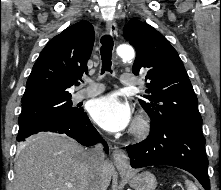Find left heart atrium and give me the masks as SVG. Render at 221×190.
Masks as SVG:
<instances>
[{
    "label": "left heart atrium",
    "mask_w": 221,
    "mask_h": 190,
    "mask_svg": "<svg viewBox=\"0 0 221 190\" xmlns=\"http://www.w3.org/2000/svg\"><path fill=\"white\" fill-rule=\"evenodd\" d=\"M90 115L95 123L109 132L125 129L131 120L129 106L114 95L94 100L90 105Z\"/></svg>",
    "instance_id": "left-heart-atrium-1"
}]
</instances>
